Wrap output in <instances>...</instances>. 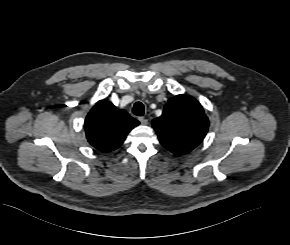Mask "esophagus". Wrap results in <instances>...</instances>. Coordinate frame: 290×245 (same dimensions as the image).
<instances>
[{
	"instance_id": "1",
	"label": "esophagus",
	"mask_w": 290,
	"mask_h": 245,
	"mask_svg": "<svg viewBox=\"0 0 290 245\" xmlns=\"http://www.w3.org/2000/svg\"><path fill=\"white\" fill-rule=\"evenodd\" d=\"M139 121L141 122V124L143 125H147L148 124V120L144 117H139Z\"/></svg>"
}]
</instances>
